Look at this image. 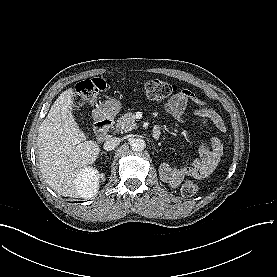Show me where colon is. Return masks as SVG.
<instances>
[{
    "instance_id": "colon-1",
    "label": "colon",
    "mask_w": 277,
    "mask_h": 277,
    "mask_svg": "<svg viewBox=\"0 0 277 277\" xmlns=\"http://www.w3.org/2000/svg\"><path fill=\"white\" fill-rule=\"evenodd\" d=\"M109 87V82L105 79L85 80L76 87L74 103L77 106L86 104L94 105L98 95ZM175 85L161 80H149L145 83L146 95L152 100H163L177 93ZM197 191V186L193 180H187L181 187V193L185 197L193 196Z\"/></svg>"
}]
</instances>
